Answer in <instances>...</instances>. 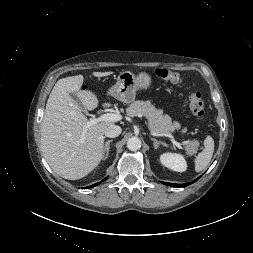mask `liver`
Listing matches in <instances>:
<instances>
[{
  "label": "liver",
  "mask_w": 253,
  "mask_h": 253,
  "mask_svg": "<svg viewBox=\"0 0 253 253\" xmlns=\"http://www.w3.org/2000/svg\"><path fill=\"white\" fill-rule=\"evenodd\" d=\"M113 72H93L105 77ZM84 77L76 75L57 81L47 100L41 125V148L50 167L69 180L85 177L103 159L104 133L112 122L102 121L86 127L88 120L70 93L77 94L87 110L99 105L97 96L81 90Z\"/></svg>",
  "instance_id": "obj_1"
}]
</instances>
